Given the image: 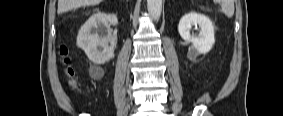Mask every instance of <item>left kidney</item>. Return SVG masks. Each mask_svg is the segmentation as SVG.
<instances>
[{
	"label": "left kidney",
	"mask_w": 283,
	"mask_h": 116,
	"mask_svg": "<svg viewBox=\"0 0 283 116\" xmlns=\"http://www.w3.org/2000/svg\"><path fill=\"white\" fill-rule=\"evenodd\" d=\"M199 25L201 28V33L198 36L190 34L192 26ZM178 31L182 39L190 43L188 50V58L195 59L200 54L208 53L214 43V26L211 20L203 15L196 12H190L185 14L179 22Z\"/></svg>",
	"instance_id": "obj_1"
}]
</instances>
